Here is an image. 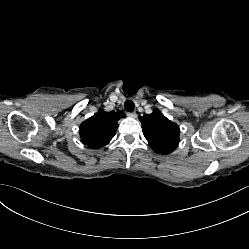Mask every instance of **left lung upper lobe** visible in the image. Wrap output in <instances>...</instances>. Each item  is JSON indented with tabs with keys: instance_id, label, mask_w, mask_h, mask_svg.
<instances>
[{
	"instance_id": "5c2ea615",
	"label": "left lung upper lobe",
	"mask_w": 249,
	"mask_h": 249,
	"mask_svg": "<svg viewBox=\"0 0 249 249\" xmlns=\"http://www.w3.org/2000/svg\"><path fill=\"white\" fill-rule=\"evenodd\" d=\"M142 130L150 147L159 154L173 152L179 144L178 125L166 118L159 110L140 116Z\"/></svg>"
}]
</instances>
